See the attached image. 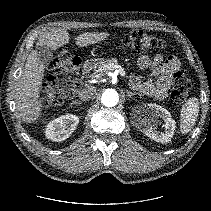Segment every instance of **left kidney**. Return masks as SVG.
I'll return each instance as SVG.
<instances>
[{
	"label": "left kidney",
	"mask_w": 211,
	"mask_h": 211,
	"mask_svg": "<svg viewBox=\"0 0 211 211\" xmlns=\"http://www.w3.org/2000/svg\"><path fill=\"white\" fill-rule=\"evenodd\" d=\"M150 115L145 117V131L144 133L152 140L161 143H169L174 135L176 123L171 117L170 112L165 108L157 104H148ZM158 117L162 118L165 122L164 132H159L156 127L158 123Z\"/></svg>",
	"instance_id": "5707ae66"
}]
</instances>
